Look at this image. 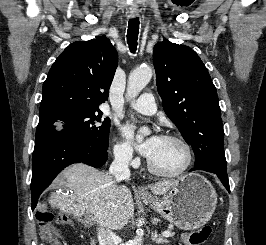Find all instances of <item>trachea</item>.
<instances>
[{
    "label": "trachea",
    "mask_w": 266,
    "mask_h": 245,
    "mask_svg": "<svg viewBox=\"0 0 266 245\" xmlns=\"http://www.w3.org/2000/svg\"><path fill=\"white\" fill-rule=\"evenodd\" d=\"M138 33H139V19L132 18V20H130L128 24L127 43L129 45L130 51L133 53L137 48Z\"/></svg>",
    "instance_id": "3493384b"
}]
</instances>
